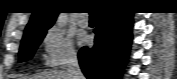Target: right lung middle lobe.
<instances>
[{
	"instance_id": "1",
	"label": "right lung middle lobe",
	"mask_w": 177,
	"mask_h": 79,
	"mask_svg": "<svg viewBox=\"0 0 177 79\" xmlns=\"http://www.w3.org/2000/svg\"><path fill=\"white\" fill-rule=\"evenodd\" d=\"M46 30H40L26 39H22L20 51H19V61L30 60L41 43L42 39L46 35Z\"/></svg>"
}]
</instances>
